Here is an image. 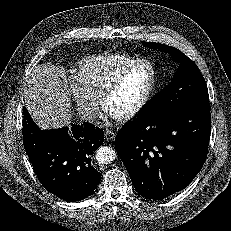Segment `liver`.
Segmentation results:
<instances>
[{
	"label": "liver",
	"instance_id": "obj_1",
	"mask_svg": "<svg viewBox=\"0 0 231 231\" xmlns=\"http://www.w3.org/2000/svg\"><path fill=\"white\" fill-rule=\"evenodd\" d=\"M66 78L50 64L37 65L24 89L25 105L42 129H57L71 123V102Z\"/></svg>",
	"mask_w": 231,
	"mask_h": 231
}]
</instances>
